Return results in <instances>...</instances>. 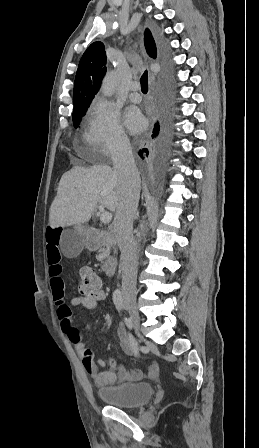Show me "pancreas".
Wrapping results in <instances>:
<instances>
[{
  "label": "pancreas",
  "instance_id": "cf45deb5",
  "mask_svg": "<svg viewBox=\"0 0 259 448\" xmlns=\"http://www.w3.org/2000/svg\"><path fill=\"white\" fill-rule=\"evenodd\" d=\"M102 256H103V254H98L97 260H103Z\"/></svg>",
  "mask_w": 259,
  "mask_h": 448
}]
</instances>
